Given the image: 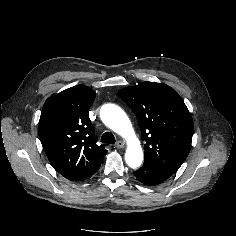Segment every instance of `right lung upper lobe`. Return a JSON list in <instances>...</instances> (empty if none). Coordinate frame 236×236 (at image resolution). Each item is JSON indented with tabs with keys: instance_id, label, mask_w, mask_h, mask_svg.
Returning a JSON list of instances; mask_svg holds the SVG:
<instances>
[{
	"instance_id": "cb5924a9",
	"label": "right lung upper lobe",
	"mask_w": 236,
	"mask_h": 236,
	"mask_svg": "<svg viewBox=\"0 0 236 236\" xmlns=\"http://www.w3.org/2000/svg\"><path fill=\"white\" fill-rule=\"evenodd\" d=\"M95 92L84 85L52 95L44 103L38 132L43 149L56 171L71 181L85 180L101 165L107 150L96 145L87 113Z\"/></svg>"
}]
</instances>
